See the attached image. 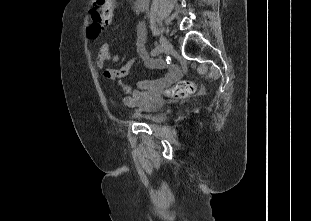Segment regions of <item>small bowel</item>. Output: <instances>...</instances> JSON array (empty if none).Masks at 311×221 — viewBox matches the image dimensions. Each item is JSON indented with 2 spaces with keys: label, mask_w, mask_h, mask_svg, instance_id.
<instances>
[{
  "label": "small bowel",
  "mask_w": 311,
  "mask_h": 221,
  "mask_svg": "<svg viewBox=\"0 0 311 221\" xmlns=\"http://www.w3.org/2000/svg\"><path fill=\"white\" fill-rule=\"evenodd\" d=\"M146 37V30L143 25H140L137 30V50L140 58L146 57L144 49V41ZM100 46H108V53H97L96 66L102 71L103 77L109 81L120 82L131 71L132 66L136 62V59L129 60L120 68H112L106 66V62L118 63L120 60V54H111L110 45L108 42L102 43ZM165 82L163 79H146L136 83L135 88L123 86L124 96L122 98V104L128 108L145 106L151 101L155 100Z\"/></svg>",
  "instance_id": "1"
}]
</instances>
